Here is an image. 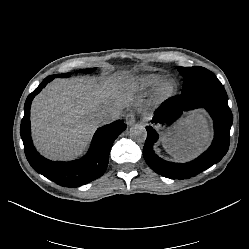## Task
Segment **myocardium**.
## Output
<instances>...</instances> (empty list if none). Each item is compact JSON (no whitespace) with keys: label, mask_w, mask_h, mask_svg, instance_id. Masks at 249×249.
Returning <instances> with one entry per match:
<instances>
[{"label":"myocardium","mask_w":249,"mask_h":249,"mask_svg":"<svg viewBox=\"0 0 249 249\" xmlns=\"http://www.w3.org/2000/svg\"><path fill=\"white\" fill-rule=\"evenodd\" d=\"M177 91V84L172 79H165L161 81L153 95V100L156 104H160L172 99Z\"/></svg>","instance_id":"obj_1"}]
</instances>
